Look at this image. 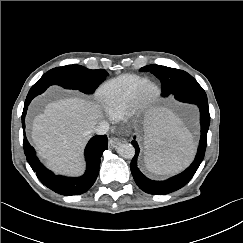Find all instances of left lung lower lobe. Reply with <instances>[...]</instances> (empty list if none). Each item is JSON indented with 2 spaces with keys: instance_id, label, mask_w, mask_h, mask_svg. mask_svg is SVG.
Listing matches in <instances>:
<instances>
[{
  "instance_id": "1",
  "label": "left lung lower lobe",
  "mask_w": 243,
  "mask_h": 243,
  "mask_svg": "<svg viewBox=\"0 0 243 243\" xmlns=\"http://www.w3.org/2000/svg\"><path fill=\"white\" fill-rule=\"evenodd\" d=\"M174 97L181 102L196 104L200 109L201 138L199 141L198 151L193 163L185 171L167 180L155 181L144 176L138 169L137 158L140 149L134 139L131 144L135 148V156L131 161L130 169L138 187L148 194H169L185 186L194 176L205 155L207 132L210 124L209 107L205 91L201 86H197L177 92L174 94Z\"/></svg>"
}]
</instances>
